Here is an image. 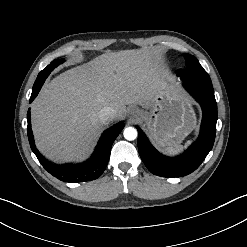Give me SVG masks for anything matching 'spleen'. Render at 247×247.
I'll list each match as a JSON object with an SVG mask.
<instances>
[{
    "mask_svg": "<svg viewBox=\"0 0 247 247\" xmlns=\"http://www.w3.org/2000/svg\"><path fill=\"white\" fill-rule=\"evenodd\" d=\"M191 144V140L187 141L185 146H181V145H176L174 147H168L166 148V152L169 154H177L179 153L181 150H183V148H186L187 146H189Z\"/></svg>",
    "mask_w": 247,
    "mask_h": 247,
    "instance_id": "3e777b00",
    "label": "spleen"
}]
</instances>
